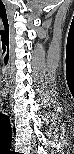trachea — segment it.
I'll list each match as a JSON object with an SVG mask.
<instances>
[{"label": "trachea", "instance_id": "trachea-1", "mask_svg": "<svg viewBox=\"0 0 74 154\" xmlns=\"http://www.w3.org/2000/svg\"><path fill=\"white\" fill-rule=\"evenodd\" d=\"M12 138V129L10 119L7 115H0V140L10 141Z\"/></svg>", "mask_w": 74, "mask_h": 154}]
</instances>
